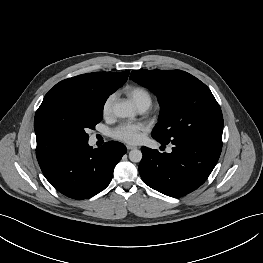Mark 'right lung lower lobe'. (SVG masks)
Returning a JSON list of instances; mask_svg holds the SVG:
<instances>
[{"mask_svg": "<svg viewBox=\"0 0 263 263\" xmlns=\"http://www.w3.org/2000/svg\"><path fill=\"white\" fill-rule=\"evenodd\" d=\"M126 151L125 145L116 141L97 149L87 141L38 162L46 179L59 192L79 200L92 197L109 185L114 168Z\"/></svg>", "mask_w": 263, "mask_h": 263, "instance_id": "right-lung-lower-lobe-1", "label": "right lung lower lobe"}]
</instances>
